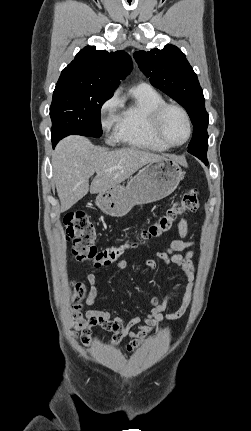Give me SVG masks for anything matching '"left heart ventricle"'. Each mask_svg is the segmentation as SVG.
<instances>
[{
    "label": "left heart ventricle",
    "instance_id": "1",
    "mask_svg": "<svg viewBox=\"0 0 251 431\" xmlns=\"http://www.w3.org/2000/svg\"><path fill=\"white\" fill-rule=\"evenodd\" d=\"M161 129L164 136L173 143L183 141L187 135L185 119L181 112L174 108H170L164 113Z\"/></svg>",
    "mask_w": 251,
    "mask_h": 431
}]
</instances>
